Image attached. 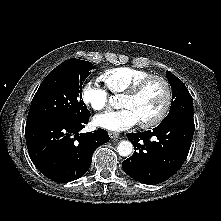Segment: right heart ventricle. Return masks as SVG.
Returning <instances> with one entry per match:
<instances>
[{"label":"right heart ventricle","instance_id":"obj_1","mask_svg":"<svg viewBox=\"0 0 221 221\" xmlns=\"http://www.w3.org/2000/svg\"><path fill=\"white\" fill-rule=\"evenodd\" d=\"M150 74V72L142 69L124 66L105 70L99 78L112 94L119 95L125 93L137 81Z\"/></svg>","mask_w":221,"mask_h":221}]
</instances>
